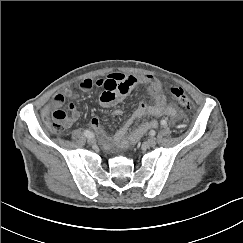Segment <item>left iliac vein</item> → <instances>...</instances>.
Masks as SVG:
<instances>
[{
  "label": "left iliac vein",
  "instance_id": "4c4485c4",
  "mask_svg": "<svg viewBox=\"0 0 243 243\" xmlns=\"http://www.w3.org/2000/svg\"><path fill=\"white\" fill-rule=\"evenodd\" d=\"M148 147H154L157 144L156 138H148L145 142Z\"/></svg>",
  "mask_w": 243,
  "mask_h": 243
}]
</instances>
